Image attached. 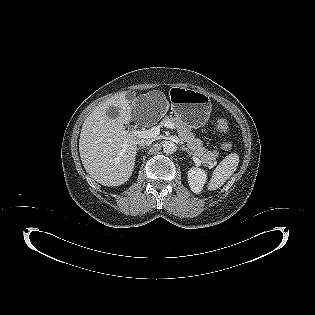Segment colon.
<instances>
[{
	"label": "colon",
	"instance_id": "colon-1",
	"mask_svg": "<svg viewBox=\"0 0 315 315\" xmlns=\"http://www.w3.org/2000/svg\"><path fill=\"white\" fill-rule=\"evenodd\" d=\"M216 127L218 129V131L220 132H226L229 129V124L228 121L226 119H218L216 122ZM223 149L225 150H230L232 148V144L230 142H225L222 145Z\"/></svg>",
	"mask_w": 315,
	"mask_h": 315
}]
</instances>
